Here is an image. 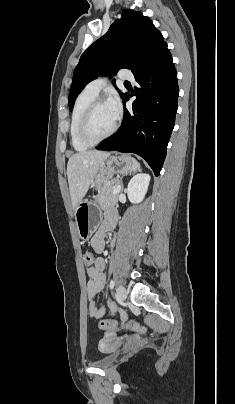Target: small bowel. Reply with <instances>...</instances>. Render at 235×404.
Returning <instances> with one entry per match:
<instances>
[{
	"label": "small bowel",
	"mask_w": 235,
	"mask_h": 404,
	"mask_svg": "<svg viewBox=\"0 0 235 404\" xmlns=\"http://www.w3.org/2000/svg\"><path fill=\"white\" fill-rule=\"evenodd\" d=\"M115 224L114 217H108L100 226L98 231L91 239V246L97 253H101L105 247V234L108 229ZM105 261L102 258L95 259L93 265L87 267V275L89 281L87 283V296H88V311L89 316L96 321L103 319L105 316H113L116 312V306L109 300V312L107 313L105 308L99 307L95 303V296L103 291L106 282V276L104 274Z\"/></svg>",
	"instance_id": "1"
}]
</instances>
